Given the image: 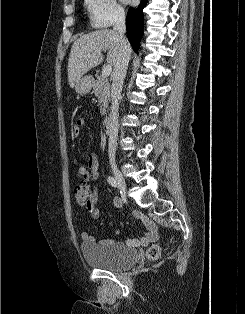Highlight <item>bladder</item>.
Here are the masks:
<instances>
[{
  "instance_id": "bladder-1",
  "label": "bladder",
  "mask_w": 245,
  "mask_h": 314,
  "mask_svg": "<svg viewBox=\"0 0 245 314\" xmlns=\"http://www.w3.org/2000/svg\"><path fill=\"white\" fill-rule=\"evenodd\" d=\"M81 253L87 264L114 271L130 267L138 259L135 249L120 242L99 245L85 243L81 245Z\"/></svg>"
}]
</instances>
